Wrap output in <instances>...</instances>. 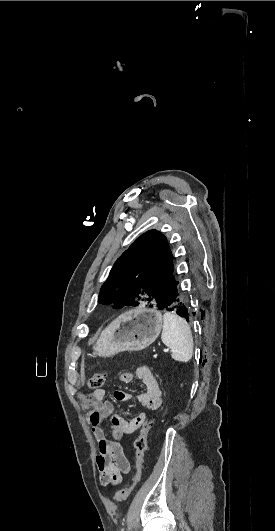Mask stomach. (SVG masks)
<instances>
[{"label":"stomach","instance_id":"obj_1","mask_svg":"<svg viewBox=\"0 0 275 531\" xmlns=\"http://www.w3.org/2000/svg\"><path fill=\"white\" fill-rule=\"evenodd\" d=\"M163 315L156 309H132L112 321L97 339L93 355L113 357L122 351H142L159 337Z\"/></svg>","mask_w":275,"mask_h":531}]
</instances>
